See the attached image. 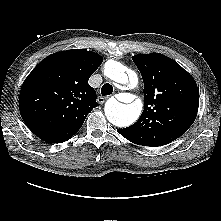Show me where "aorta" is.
Returning a JSON list of instances; mask_svg holds the SVG:
<instances>
[{
  "label": "aorta",
  "instance_id": "aorta-1",
  "mask_svg": "<svg viewBox=\"0 0 221 221\" xmlns=\"http://www.w3.org/2000/svg\"><path fill=\"white\" fill-rule=\"evenodd\" d=\"M126 68L117 61L110 60L105 64V75L116 83L129 85L137 81L135 72H130L129 78L126 74ZM130 104H123L115 99H109L105 104V115L107 119L118 127H126L134 123L142 112V102L139 100H129Z\"/></svg>",
  "mask_w": 221,
  "mask_h": 221
}]
</instances>
